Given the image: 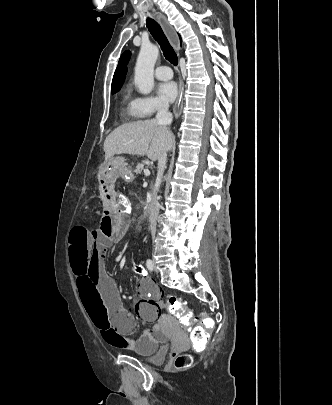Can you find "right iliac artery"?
<instances>
[{"label":"right iliac artery","instance_id":"1","mask_svg":"<svg viewBox=\"0 0 332 405\" xmlns=\"http://www.w3.org/2000/svg\"><path fill=\"white\" fill-rule=\"evenodd\" d=\"M146 266H147V268H148L150 271H153V269H154V264H153V262H152L150 259H148V260L146 261Z\"/></svg>","mask_w":332,"mask_h":405}]
</instances>
